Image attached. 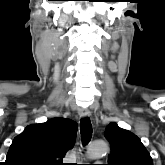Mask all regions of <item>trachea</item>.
<instances>
[{"label": "trachea", "instance_id": "3493384b", "mask_svg": "<svg viewBox=\"0 0 165 165\" xmlns=\"http://www.w3.org/2000/svg\"><path fill=\"white\" fill-rule=\"evenodd\" d=\"M80 132L83 145L89 143L92 138V124L89 118H83L80 121Z\"/></svg>", "mask_w": 165, "mask_h": 165}]
</instances>
